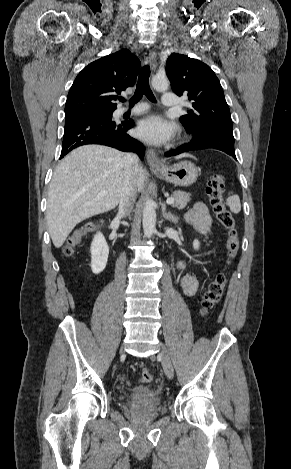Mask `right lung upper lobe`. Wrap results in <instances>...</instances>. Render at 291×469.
<instances>
[{
  "mask_svg": "<svg viewBox=\"0 0 291 469\" xmlns=\"http://www.w3.org/2000/svg\"><path fill=\"white\" fill-rule=\"evenodd\" d=\"M139 68V59L127 49L90 63L70 88L65 117L93 110H115V93L120 94L134 85Z\"/></svg>",
  "mask_w": 291,
  "mask_h": 469,
  "instance_id": "obj_1",
  "label": "right lung upper lobe"
}]
</instances>
